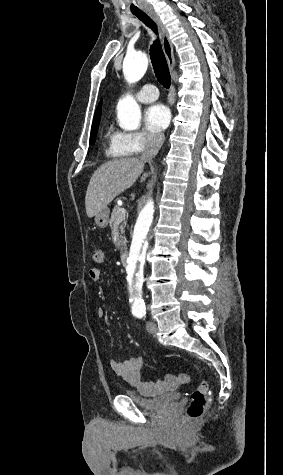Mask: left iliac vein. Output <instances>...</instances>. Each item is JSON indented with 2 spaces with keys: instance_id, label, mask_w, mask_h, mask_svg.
<instances>
[{
  "instance_id": "left-iliac-vein-1",
  "label": "left iliac vein",
  "mask_w": 283,
  "mask_h": 475,
  "mask_svg": "<svg viewBox=\"0 0 283 475\" xmlns=\"http://www.w3.org/2000/svg\"><path fill=\"white\" fill-rule=\"evenodd\" d=\"M146 330L149 332V333H156L157 331V326L154 322L152 321H149L146 323Z\"/></svg>"
}]
</instances>
